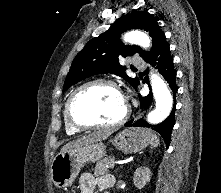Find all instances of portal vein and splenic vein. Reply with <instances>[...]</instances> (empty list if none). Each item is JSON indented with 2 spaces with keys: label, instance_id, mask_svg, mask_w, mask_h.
<instances>
[{
  "label": "portal vein and splenic vein",
  "instance_id": "portal-vein-and-splenic-vein-1",
  "mask_svg": "<svg viewBox=\"0 0 221 193\" xmlns=\"http://www.w3.org/2000/svg\"><path fill=\"white\" fill-rule=\"evenodd\" d=\"M114 167H115V163H111L110 168H114Z\"/></svg>",
  "mask_w": 221,
  "mask_h": 193
}]
</instances>
